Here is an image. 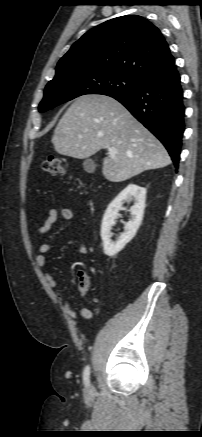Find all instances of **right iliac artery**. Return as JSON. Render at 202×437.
Returning <instances> with one entry per match:
<instances>
[{
	"instance_id": "right-iliac-artery-1",
	"label": "right iliac artery",
	"mask_w": 202,
	"mask_h": 437,
	"mask_svg": "<svg viewBox=\"0 0 202 437\" xmlns=\"http://www.w3.org/2000/svg\"><path fill=\"white\" fill-rule=\"evenodd\" d=\"M89 378H90V367L86 366L83 372V382L85 386H89Z\"/></svg>"
}]
</instances>
